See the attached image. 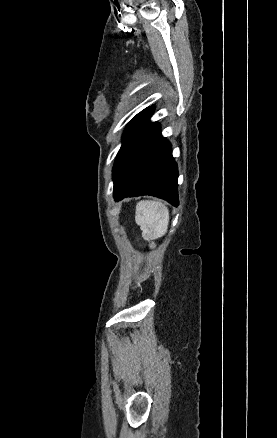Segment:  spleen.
Wrapping results in <instances>:
<instances>
[{"instance_id": "obj_1", "label": "spleen", "mask_w": 277, "mask_h": 438, "mask_svg": "<svg viewBox=\"0 0 277 438\" xmlns=\"http://www.w3.org/2000/svg\"><path fill=\"white\" fill-rule=\"evenodd\" d=\"M135 220L137 226H140V230H142L144 240H157L167 232L168 208L162 202L142 200L136 204Z\"/></svg>"}]
</instances>
